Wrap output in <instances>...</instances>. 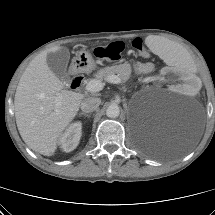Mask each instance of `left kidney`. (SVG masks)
<instances>
[{
	"label": "left kidney",
	"mask_w": 215,
	"mask_h": 215,
	"mask_svg": "<svg viewBox=\"0 0 215 215\" xmlns=\"http://www.w3.org/2000/svg\"><path fill=\"white\" fill-rule=\"evenodd\" d=\"M162 77L166 81H172V89L176 93L187 90L191 95H196L200 91L201 79L197 75L190 76L186 72H179L172 68H166L162 72Z\"/></svg>",
	"instance_id": "obj_1"
}]
</instances>
